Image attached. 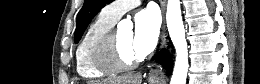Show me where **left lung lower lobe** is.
<instances>
[{
  "instance_id": "left-lung-lower-lobe-1",
  "label": "left lung lower lobe",
  "mask_w": 260,
  "mask_h": 84,
  "mask_svg": "<svg viewBox=\"0 0 260 84\" xmlns=\"http://www.w3.org/2000/svg\"><path fill=\"white\" fill-rule=\"evenodd\" d=\"M162 63L165 66V68L167 69V71L170 72V70H171V60H170L169 54L167 52H164L162 54Z\"/></svg>"
}]
</instances>
